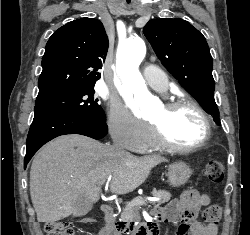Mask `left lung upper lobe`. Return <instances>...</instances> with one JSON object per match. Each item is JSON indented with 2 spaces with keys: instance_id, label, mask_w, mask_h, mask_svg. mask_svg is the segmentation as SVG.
Returning <instances> with one entry per match:
<instances>
[{
  "instance_id": "left-lung-upper-lobe-1",
  "label": "left lung upper lobe",
  "mask_w": 250,
  "mask_h": 235,
  "mask_svg": "<svg viewBox=\"0 0 250 235\" xmlns=\"http://www.w3.org/2000/svg\"><path fill=\"white\" fill-rule=\"evenodd\" d=\"M143 32L165 68L219 124L213 61L202 33L180 18L150 20Z\"/></svg>"
}]
</instances>
